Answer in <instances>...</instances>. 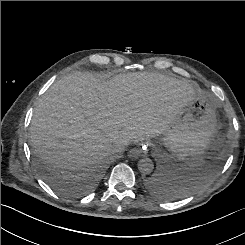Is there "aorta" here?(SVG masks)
<instances>
[{"instance_id":"aorta-1","label":"aorta","mask_w":245,"mask_h":245,"mask_svg":"<svg viewBox=\"0 0 245 245\" xmlns=\"http://www.w3.org/2000/svg\"><path fill=\"white\" fill-rule=\"evenodd\" d=\"M154 169L153 161L150 158H142L138 161V170L142 174H150Z\"/></svg>"}]
</instances>
